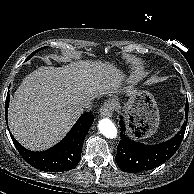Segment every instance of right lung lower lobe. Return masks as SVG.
I'll list each match as a JSON object with an SVG mask.
<instances>
[{"instance_id":"1","label":"right lung lower lobe","mask_w":194,"mask_h":194,"mask_svg":"<svg viewBox=\"0 0 194 194\" xmlns=\"http://www.w3.org/2000/svg\"><path fill=\"white\" fill-rule=\"evenodd\" d=\"M9 101L10 95L8 91L5 103L6 118ZM93 120L94 116L91 112L82 114L62 141L43 152L27 150L17 142L11 133L10 135L22 158L31 166L47 172H63L74 168L79 163L84 138Z\"/></svg>"}]
</instances>
